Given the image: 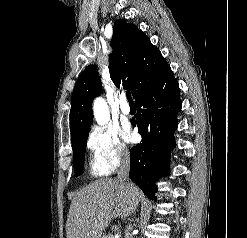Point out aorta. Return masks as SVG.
<instances>
[{"mask_svg": "<svg viewBox=\"0 0 247 238\" xmlns=\"http://www.w3.org/2000/svg\"><path fill=\"white\" fill-rule=\"evenodd\" d=\"M93 113L98 124L104 125L109 119V109L106 102L102 98H97L93 103Z\"/></svg>", "mask_w": 247, "mask_h": 238, "instance_id": "1", "label": "aorta"}]
</instances>
